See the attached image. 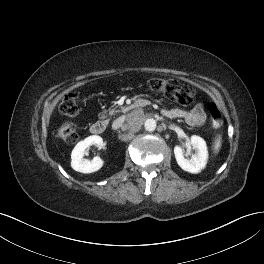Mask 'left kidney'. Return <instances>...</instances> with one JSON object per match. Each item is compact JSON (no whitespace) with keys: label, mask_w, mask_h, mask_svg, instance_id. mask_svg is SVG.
Listing matches in <instances>:
<instances>
[{"label":"left kidney","mask_w":264,"mask_h":264,"mask_svg":"<svg viewBox=\"0 0 264 264\" xmlns=\"http://www.w3.org/2000/svg\"><path fill=\"white\" fill-rule=\"evenodd\" d=\"M190 143L195 150V154L190 159L184 157V151L180 146L174 147V154L178 165L190 173H199L205 168L208 160V150L206 142L199 136H191Z\"/></svg>","instance_id":"1"}]
</instances>
